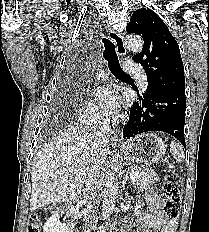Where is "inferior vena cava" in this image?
<instances>
[{"instance_id": "obj_1", "label": "inferior vena cava", "mask_w": 209, "mask_h": 232, "mask_svg": "<svg viewBox=\"0 0 209 232\" xmlns=\"http://www.w3.org/2000/svg\"><path fill=\"white\" fill-rule=\"evenodd\" d=\"M93 138L95 139V142L92 151L96 155H99L102 149V142L106 141V128L101 127L100 131H98L93 135ZM100 170H101L100 163L97 160L94 161L91 164L85 179V189H84L85 199H90L94 195ZM83 203H85V201Z\"/></svg>"}]
</instances>
